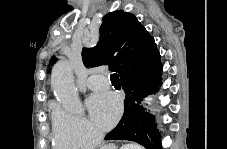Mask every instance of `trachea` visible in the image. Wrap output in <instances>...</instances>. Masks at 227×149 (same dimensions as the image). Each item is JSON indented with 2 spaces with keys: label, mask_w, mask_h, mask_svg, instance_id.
I'll use <instances>...</instances> for the list:
<instances>
[{
  "label": "trachea",
  "mask_w": 227,
  "mask_h": 149,
  "mask_svg": "<svg viewBox=\"0 0 227 149\" xmlns=\"http://www.w3.org/2000/svg\"><path fill=\"white\" fill-rule=\"evenodd\" d=\"M110 80L113 85H118L120 84V79L117 73H112L110 75Z\"/></svg>",
  "instance_id": "3493384b"
}]
</instances>
